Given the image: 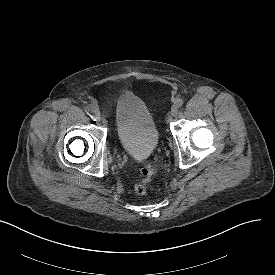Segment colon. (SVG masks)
I'll list each match as a JSON object with an SVG mask.
<instances>
[{
  "mask_svg": "<svg viewBox=\"0 0 275 275\" xmlns=\"http://www.w3.org/2000/svg\"><path fill=\"white\" fill-rule=\"evenodd\" d=\"M155 170L151 164H146L140 170V180L134 185L133 191L136 195H145L148 185L154 176Z\"/></svg>",
  "mask_w": 275,
  "mask_h": 275,
  "instance_id": "5ec220e1",
  "label": "colon"
}]
</instances>
